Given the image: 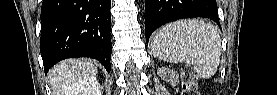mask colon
<instances>
[{
    "label": "colon",
    "instance_id": "1",
    "mask_svg": "<svg viewBox=\"0 0 277 95\" xmlns=\"http://www.w3.org/2000/svg\"><path fill=\"white\" fill-rule=\"evenodd\" d=\"M181 82L183 94H197L196 73L191 66H184L181 69Z\"/></svg>",
    "mask_w": 277,
    "mask_h": 95
}]
</instances>
